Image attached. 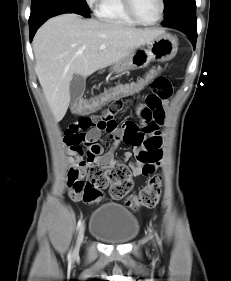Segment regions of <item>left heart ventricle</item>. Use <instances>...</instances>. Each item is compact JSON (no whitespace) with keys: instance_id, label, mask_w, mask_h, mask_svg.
Masks as SVG:
<instances>
[{"instance_id":"obj_1","label":"left heart ventricle","mask_w":231,"mask_h":281,"mask_svg":"<svg viewBox=\"0 0 231 281\" xmlns=\"http://www.w3.org/2000/svg\"><path fill=\"white\" fill-rule=\"evenodd\" d=\"M137 14L146 21H153L160 14V0H133Z\"/></svg>"}]
</instances>
